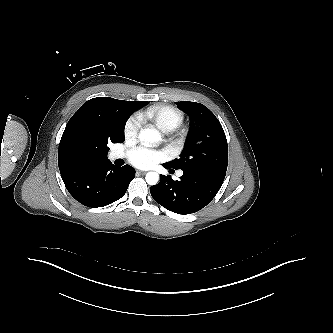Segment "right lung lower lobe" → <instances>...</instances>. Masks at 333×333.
I'll return each mask as SVG.
<instances>
[{
  "label": "right lung lower lobe",
  "instance_id": "98d812e1",
  "mask_svg": "<svg viewBox=\"0 0 333 333\" xmlns=\"http://www.w3.org/2000/svg\"><path fill=\"white\" fill-rule=\"evenodd\" d=\"M134 177V168L116 167L108 159L81 163L62 176L69 193L91 208L109 205L123 197Z\"/></svg>",
  "mask_w": 333,
  "mask_h": 333
}]
</instances>
